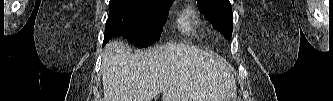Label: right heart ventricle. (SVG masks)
<instances>
[{"mask_svg": "<svg viewBox=\"0 0 333 101\" xmlns=\"http://www.w3.org/2000/svg\"><path fill=\"white\" fill-rule=\"evenodd\" d=\"M178 29L186 35H195L204 28V22L192 7H187L178 16Z\"/></svg>", "mask_w": 333, "mask_h": 101, "instance_id": "1", "label": "right heart ventricle"}]
</instances>
